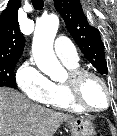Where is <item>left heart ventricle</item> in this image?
Wrapping results in <instances>:
<instances>
[{"mask_svg":"<svg viewBox=\"0 0 117 136\" xmlns=\"http://www.w3.org/2000/svg\"><path fill=\"white\" fill-rule=\"evenodd\" d=\"M81 97L84 103L93 109H102L107 104V94L103 86L92 77L83 81Z\"/></svg>","mask_w":117,"mask_h":136,"instance_id":"left-heart-ventricle-1","label":"left heart ventricle"}]
</instances>
